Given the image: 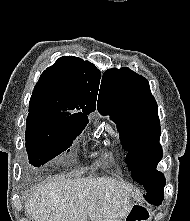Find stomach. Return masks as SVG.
<instances>
[{"mask_svg": "<svg viewBox=\"0 0 190 221\" xmlns=\"http://www.w3.org/2000/svg\"><path fill=\"white\" fill-rule=\"evenodd\" d=\"M122 219H104L103 221H140V218L133 217H150L148 208H131L130 212H121Z\"/></svg>", "mask_w": 190, "mask_h": 221, "instance_id": "stomach-1", "label": "stomach"}]
</instances>
